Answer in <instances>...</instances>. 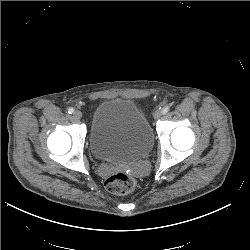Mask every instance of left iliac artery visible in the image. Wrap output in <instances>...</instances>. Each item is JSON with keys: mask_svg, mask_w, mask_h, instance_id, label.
Returning <instances> with one entry per match:
<instances>
[{"mask_svg": "<svg viewBox=\"0 0 250 250\" xmlns=\"http://www.w3.org/2000/svg\"><path fill=\"white\" fill-rule=\"evenodd\" d=\"M170 107L169 106H165L163 109H162V113L163 114H166L168 111H169Z\"/></svg>", "mask_w": 250, "mask_h": 250, "instance_id": "44dca946", "label": "left iliac artery"}]
</instances>
